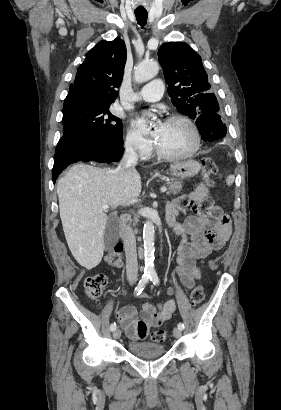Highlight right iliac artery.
<instances>
[{
  "instance_id": "1",
  "label": "right iliac artery",
  "mask_w": 281,
  "mask_h": 410,
  "mask_svg": "<svg viewBox=\"0 0 281 410\" xmlns=\"http://www.w3.org/2000/svg\"><path fill=\"white\" fill-rule=\"evenodd\" d=\"M149 278H150V275H149V274H144V275L142 276V278L140 279L138 285L136 286L135 292H141V291L144 289V287L146 286V284L148 283ZM116 327H117V326H116V323H115V322L112 323V324L110 325L111 331H114V330L116 329Z\"/></svg>"
}]
</instances>
